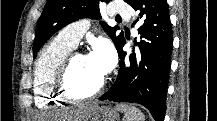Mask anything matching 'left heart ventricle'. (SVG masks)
Instances as JSON below:
<instances>
[{"label":"left heart ventricle","instance_id":"b2bd125f","mask_svg":"<svg viewBox=\"0 0 217 121\" xmlns=\"http://www.w3.org/2000/svg\"><path fill=\"white\" fill-rule=\"evenodd\" d=\"M103 77L89 57H77L68 75L69 88L77 95L88 94L98 87Z\"/></svg>","mask_w":217,"mask_h":121}]
</instances>
